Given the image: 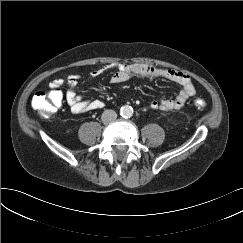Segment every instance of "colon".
<instances>
[{"label":"colon","mask_w":243,"mask_h":243,"mask_svg":"<svg viewBox=\"0 0 243 243\" xmlns=\"http://www.w3.org/2000/svg\"><path fill=\"white\" fill-rule=\"evenodd\" d=\"M62 99L63 95L59 89L38 92L32 99V106L42 117L48 118L56 113L61 106ZM194 105L199 109H203L206 103L203 99L197 98Z\"/></svg>","instance_id":"5ec220e1"}]
</instances>
